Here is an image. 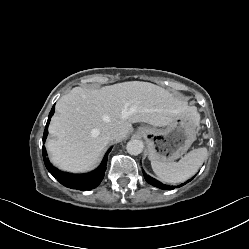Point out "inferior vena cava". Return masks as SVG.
Returning <instances> with one entry per match:
<instances>
[{
	"label": "inferior vena cava",
	"instance_id": "obj_1",
	"mask_svg": "<svg viewBox=\"0 0 249 249\" xmlns=\"http://www.w3.org/2000/svg\"><path fill=\"white\" fill-rule=\"evenodd\" d=\"M104 137L107 140H115L118 137V133L115 129H107L104 131Z\"/></svg>",
	"mask_w": 249,
	"mask_h": 249
}]
</instances>
